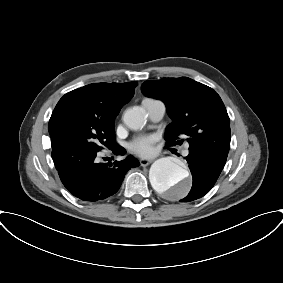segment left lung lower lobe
<instances>
[{"label": "left lung lower lobe", "mask_w": 283, "mask_h": 283, "mask_svg": "<svg viewBox=\"0 0 283 283\" xmlns=\"http://www.w3.org/2000/svg\"><path fill=\"white\" fill-rule=\"evenodd\" d=\"M193 176V185L182 202L196 200L207 194L217 181L225 164L211 163L203 157L189 153L185 157Z\"/></svg>", "instance_id": "obj_1"}]
</instances>
